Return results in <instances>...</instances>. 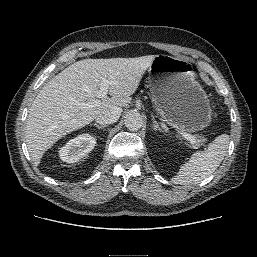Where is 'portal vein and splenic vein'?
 Here are the masks:
<instances>
[{
    "label": "portal vein and splenic vein",
    "instance_id": "portal-vein-and-splenic-vein-1",
    "mask_svg": "<svg viewBox=\"0 0 257 257\" xmlns=\"http://www.w3.org/2000/svg\"><path fill=\"white\" fill-rule=\"evenodd\" d=\"M110 82L107 79H102L101 84H100V89L97 93L98 98H105L108 93V88H109ZM79 106H85V107H94L98 105V100L95 102H89V103H78ZM182 136L190 141L191 144H195V137L189 133L186 132H181Z\"/></svg>",
    "mask_w": 257,
    "mask_h": 257
}]
</instances>
